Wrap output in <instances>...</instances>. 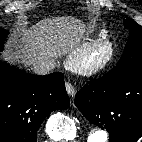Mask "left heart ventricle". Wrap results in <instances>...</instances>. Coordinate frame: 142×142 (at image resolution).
I'll return each instance as SVG.
<instances>
[{
	"mask_svg": "<svg viewBox=\"0 0 142 142\" xmlns=\"http://www.w3.org/2000/svg\"><path fill=\"white\" fill-rule=\"evenodd\" d=\"M104 54V50L103 49H100L98 50L94 55H93V58H99L101 57L102 55Z\"/></svg>",
	"mask_w": 142,
	"mask_h": 142,
	"instance_id": "b2bd125f",
	"label": "left heart ventricle"
}]
</instances>
